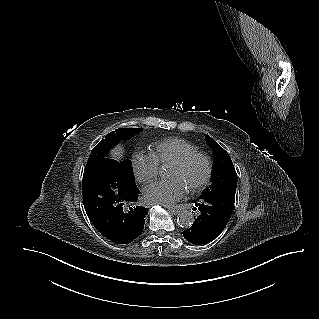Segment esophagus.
<instances>
[{
    "label": "esophagus",
    "instance_id": "obj_1",
    "mask_svg": "<svg viewBox=\"0 0 319 319\" xmlns=\"http://www.w3.org/2000/svg\"><path fill=\"white\" fill-rule=\"evenodd\" d=\"M167 209L173 214H178L180 212V210L175 207H167Z\"/></svg>",
    "mask_w": 319,
    "mask_h": 319
}]
</instances>
